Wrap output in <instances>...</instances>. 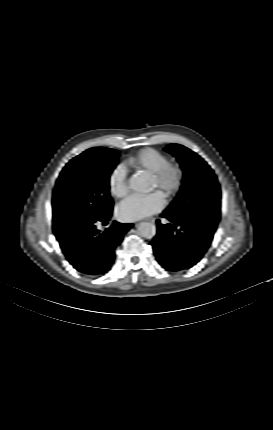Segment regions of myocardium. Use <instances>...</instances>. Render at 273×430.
Listing matches in <instances>:
<instances>
[{
  "label": "myocardium",
  "instance_id": "myocardium-1",
  "mask_svg": "<svg viewBox=\"0 0 273 430\" xmlns=\"http://www.w3.org/2000/svg\"><path fill=\"white\" fill-rule=\"evenodd\" d=\"M160 189L167 198L174 197L183 183V170L175 163L169 162L152 175Z\"/></svg>",
  "mask_w": 273,
  "mask_h": 430
}]
</instances>
